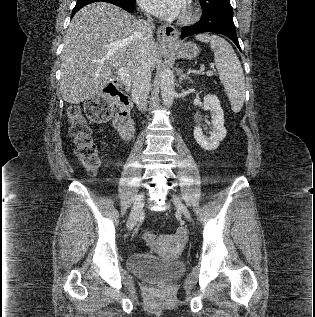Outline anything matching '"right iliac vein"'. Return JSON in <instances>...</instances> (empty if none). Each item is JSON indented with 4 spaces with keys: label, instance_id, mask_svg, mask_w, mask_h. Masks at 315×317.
<instances>
[{
    "label": "right iliac vein",
    "instance_id": "right-iliac-vein-1",
    "mask_svg": "<svg viewBox=\"0 0 315 317\" xmlns=\"http://www.w3.org/2000/svg\"><path fill=\"white\" fill-rule=\"evenodd\" d=\"M143 205H144V193L142 192L136 197L134 205L130 212L128 223H127L129 230H132L134 226L136 225L140 212L143 208Z\"/></svg>",
    "mask_w": 315,
    "mask_h": 317
}]
</instances>
